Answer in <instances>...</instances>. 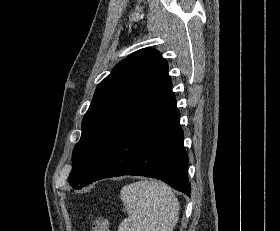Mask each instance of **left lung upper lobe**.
<instances>
[{
  "label": "left lung upper lobe",
  "instance_id": "5c2ea615",
  "mask_svg": "<svg viewBox=\"0 0 280 231\" xmlns=\"http://www.w3.org/2000/svg\"><path fill=\"white\" fill-rule=\"evenodd\" d=\"M168 66L152 48L121 62L96 88L82 121V135L72 155L68 181L77 188L107 145L126 127L154 110L169 94Z\"/></svg>",
  "mask_w": 280,
  "mask_h": 231
}]
</instances>
